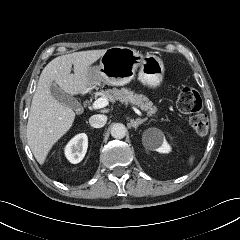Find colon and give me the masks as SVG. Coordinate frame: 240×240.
Here are the masks:
<instances>
[{
    "label": "colon",
    "mask_w": 240,
    "mask_h": 240,
    "mask_svg": "<svg viewBox=\"0 0 240 240\" xmlns=\"http://www.w3.org/2000/svg\"><path fill=\"white\" fill-rule=\"evenodd\" d=\"M202 106V98L195 88L181 89L177 98V108L181 113L191 114L190 125L198 135H205L209 127L207 117L201 113Z\"/></svg>",
    "instance_id": "obj_1"
}]
</instances>
